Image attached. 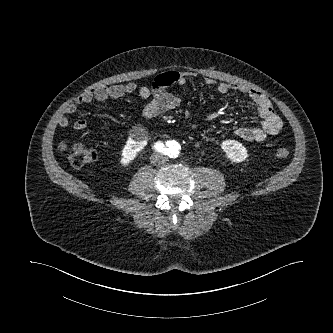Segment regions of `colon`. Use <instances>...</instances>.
Here are the masks:
<instances>
[{
  "mask_svg": "<svg viewBox=\"0 0 333 333\" xmlns=\"http://www.w3.org/2000/svg\"><path fill=\"white\" fill-rule=\"evenodd\" d=\"M62 150L66 152L70 164L75 168H82L96 158L94 150L82 144L64 145ZM289 155L290 151L285 147H280L274 152V156L278 159H285Z\"/></svg>",
  "mask_w": 333,
  "mask_h": 333,
  "instance_id": "obj_1",
  "label": "colon"
}]
</instances>
